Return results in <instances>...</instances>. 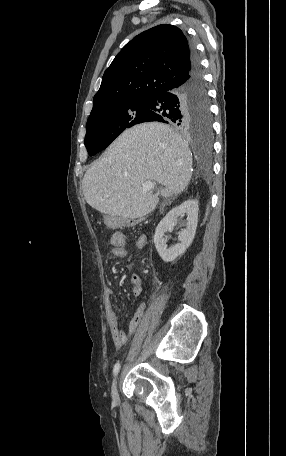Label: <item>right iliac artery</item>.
<instances>
[{
  "mask_svg": "<svg viewBox=\"0 0 286 456\" xmlns=\"http://www.w3.org/2000/svg\"><path fill=\"white\" fill-rule=\"evenodd\" d=\"M119 369H120V363L117 362V363L114 365V368H113V373H114V375H117V374H118Z\"/></svg>",
  "mask_w": 286,
  "mask_h": 456,
  "instance_id": "82829eb1",
  "label": "right iliac artery"
}]
</instances>
